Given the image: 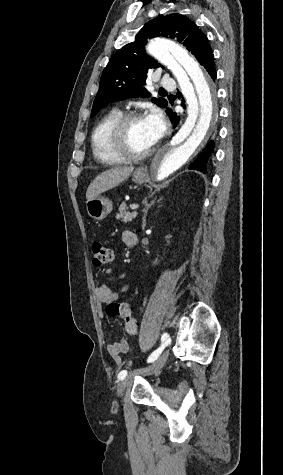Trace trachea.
Segmentation results:
<instances>
[{"mask_svg":"<svg viewBox=\"0 0 283 475\" xmlns=\"http://www.w3.org/2000/svg\"><path fill=\"white\" fill-rule=\"evenodd\" d=\"M164 93H167L166 90H163Z\"/></svg>","mask_w":283,"mask_h":475,"instance_id":"3493384b","label":"trachea"}]
</instances>
